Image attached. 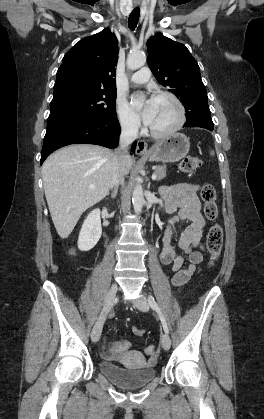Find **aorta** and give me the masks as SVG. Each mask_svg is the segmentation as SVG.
I'll return each instance as SVG.
<instances>
[{"mask_svg":"<svg viewBox=\"0 0 264 419\" xmlns=\"http://www.w3.org/2000/svg\"><path fill=\"white\" fill-rule=\"evenodd\" d=\"M145 63L146 55L142 52L131 53L127 57V68L130 70L139 69L140 67L144 66ZM134 104L140 106L142 104V101L135 100ZM137 181L138 182L135 185L132 193V202L135 213L140 214L144 204V196L142 186L139 183V179Z\"/></svg>","mask_w":264,"mask_h":419,"instance_id":"obj_1","label":"aorta"}]
</instances>
